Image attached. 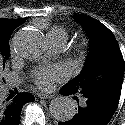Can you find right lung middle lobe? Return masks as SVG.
<instances>
[{"mask_svg": "<svg viewBox=\"0 0 125 125\" xmlns=\"http://www.w3.org/2000/svg\"><path fill=\"white\" fill-rule=\"evenodd\" d=\"M11 34L10 32L0 31V62L2 64L1 60H3V67L5 66L4 60L10 55L9 39Z\"/></svg>", "mask_w": 125, "mask_h": 125, "instance_id": "obj_1", "label": "right lung middle lobe"}]
</instances>
